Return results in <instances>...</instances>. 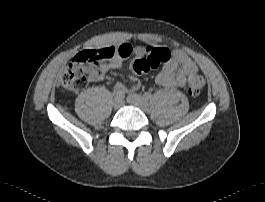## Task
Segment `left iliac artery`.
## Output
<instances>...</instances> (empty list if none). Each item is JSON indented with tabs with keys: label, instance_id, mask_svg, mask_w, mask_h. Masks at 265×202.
<instances>
[{
	"label": "left iliac artery",
	"instance_id": "1",
	"mask_svg": "<svg viewBox=\"0 0 265 202\" xmlns=\"http://www.w3.org/2000/svg\"><path fill=\"white\" fill-rule=\"evenodd\" d=\"M143 97H144L145 99L150 100V99L152 98V94L149 93V92H145V93L143 94Z\"/></svg>",
	"mask_w": 265,
	"mask_h": 202
}]
</instances>
